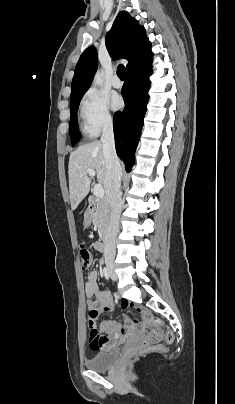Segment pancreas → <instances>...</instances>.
Segmentation results:
<instances>
[{"label": "pancreas", "mask_w": 235, "mask_h": 404, "mask_svg": "<svg viewBox=\"0 0 235 404\" xmlns=\"http://www.w3.org/2000/svg\"><path fill=\"white\" fill-rule=\"evenodd\" d=\"M108 213L109 209L106 201L104 199H97L96 206L91 213V218L101 235H104L106 232Z\"/></svg>", "instance_id": "1"}]
</instances>
